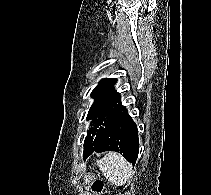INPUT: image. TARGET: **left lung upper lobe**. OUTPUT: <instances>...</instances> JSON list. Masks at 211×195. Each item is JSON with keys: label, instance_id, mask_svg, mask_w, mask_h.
I'll use <instances>...</instances> for the list:
<instances>
[{"label": "left lung upper lobe", "instance_id": "5c2ea615", "mask_svg": "<svg viewBox=\"0 0 211 195\" xmlns=\"http://www.w3.org/2000/svg\"><path fill=\"white\" fill-rule=\"evenodd\" d=\"M115 83L116 78L103 79L91 93L95 102L87 115V120L92 122L84 141L83 155L96 145L106 125L125 109V106L120 103V93L113 88Z\"/></svg>", "mask_w": 211, "mask_h": 195}]
</instances>
